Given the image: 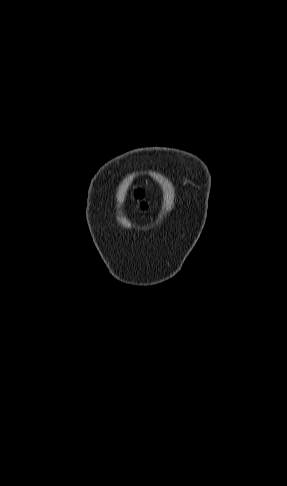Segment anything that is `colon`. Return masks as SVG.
<instances>
[{
	"mask_svg": "<svg viewBox=\"0 0 287 486\" xmlns=\"http://www.w3.org/2000/svg\"><path fill=\"white\" fill-rule=\"evenodd\" d=\"M135 196L138 198V199H142L143 196H144V192L143 190H137L136 193H135ZM142 207H145V204H142Z\"/></svg>",
	"mask_w": 287,
	"mask_h": 486,
	"instance_id": "1",
	"label": "colon"
}]
</instances>
